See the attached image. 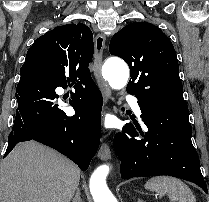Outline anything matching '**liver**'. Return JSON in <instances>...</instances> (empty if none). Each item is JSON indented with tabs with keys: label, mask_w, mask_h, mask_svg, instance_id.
Here are the masks:
<instances>
[{
	"label": "liver",
	"mask_w": 209,
	"mask_h": 202,
	"mask_svg": "<svg viewBox=\"0 0 209 202\" xmlns=\"http://www.w3.org/2000/svg\"><path fill=\"white\" fill-rule=\"evenodd\" d=\"M80 170L37 142L18 144L0 166V202H70Z\"/></svg>",
	"instance_id": "1"
}]
</instances>
